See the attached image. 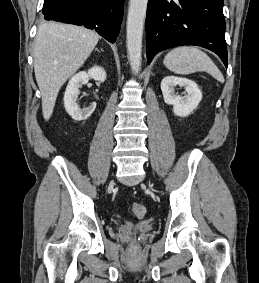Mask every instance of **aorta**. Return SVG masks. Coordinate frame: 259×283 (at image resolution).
I'll return each instance as SVG.
<instances>
[{
	"label": "aorta",
	"mask_w": 259,
	"mask_h": 283,
	"mask_svg": "<svg viewBox=\"0 0 259 283\" xmlns=\"http://www.w3.org/2000/svg\"><path fill=\"white\" fill-rule=\"evenodd\" d=\"M148 0H130L127 17V53L131 69L138 73L142 60V36Z\"/></svg>",
	"instance_id": "1"
}]
</instances>
